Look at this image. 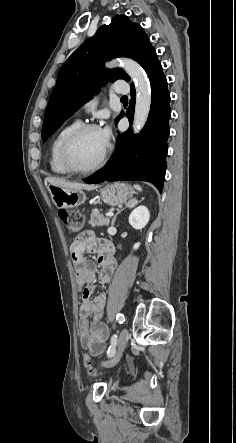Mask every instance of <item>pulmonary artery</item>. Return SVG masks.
Wrapping results in <instances>:
<instances>
[{
  "label": "pulmonary artery",
  "instance_id": "pulmonary-artery-1",
  "mask_svg": "<svg viewBox=\"0 0 236 443\" xmlns=\"http://www.w3.org/2000/svg\"><path fill=\"white\" fill-rule=\"evenodd\" d=\"M114 91L116 92V93H123L124 92V89L121 87V85H120V83H115V85H114ZM96 105V101L95 100H93V101H91V102H89L88 104H87V106L88 107H94Z\"/></svg>",
  "mask_w": 236,
  "mask_h": 443
}]
</instances>
